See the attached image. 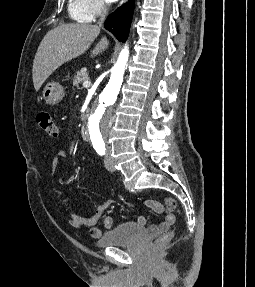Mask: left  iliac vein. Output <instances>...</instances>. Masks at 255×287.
Instances as JSON below:
<instances>
[{
    "label": "left iliac vein",
    "instance_id": "left-iliac-vein-1",
    "mask_svg": "<svg viewBox=\"0 0 255 287\" xmlns=\"http://www.w3.org/2000/svg\"><path fill=\"white\" fill-rule=\"evenodd\" d=\"M105 168L108 170V171H114V164H113V161L111 159V149L110 147H108L107 149V154H106V158H105Z\"/></svg>",
    "mask_w": 255,
    "mask_h": 287
}]
</instances>
